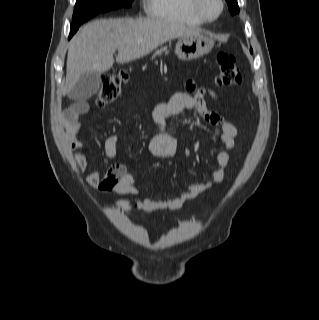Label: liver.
<instances>
[{"mask_svg":"<svg viewBox=\"0 0 319 320\" xmlns=\"http://www.w3.org/2000/svg\"><path fill=\"white\" fill-rule=\"evenodd\" d=\"M199 34V30L163 19H101L82 26L68 47L66 82L68 94L84 74L108 71L114 64L148 55L168 40Z\"/></svg>","mask_w":319,"mask_h":320,"instance_id":"6515ba94","label":"liver"}]
</instances>
